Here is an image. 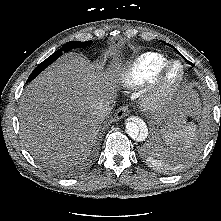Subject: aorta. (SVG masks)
Returning <instances> with one entry per match:
<instances>
[{
    "instance_id": "aorta-1",
    "label": "aorta",
    "mask_w": 221,
    "mask_h": 221,
    "mask_svg": "<svg viewBox=\"0 0 221 221\" xmlns=\"http://www.w3.org/2000/svg\"><path fill=\"white\" fill-rule=\"evenodd\" d=\"M126 132L134 140L143 141L148 136V129L144 122H127Z\"/></svg>"
}]
</instances>
